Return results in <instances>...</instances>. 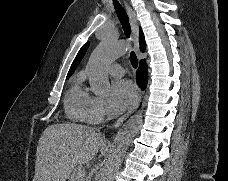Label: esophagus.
I'll return each instance as SVG.
<instances>
[{
	"instance_id": "obj_1",
	"label": "esophagus",
	"mask_w": 228,
	"mask_h": 181,
	"mask_svg": "<svg viewBox=\"0 0 228 181\" xmlns=\"http://www.w3.org/2000/svg\"><path fill=\"white\" fill-rule=\"evenodd\" d=\"M127 12L129 15V19L132 25V31H133V41H134V50L137 52L139 51V40H138V20L136 17L135 11L127 4L125 3ZM142 98V93L140 92L136 101L134 102L133 106L127 111V113L119 120L118 123H116L114 126L117 127L119 123H121L123 120L128 118L134 111L135 109L139 106L140 101Z\"/></svg>"
}]
</instances>
